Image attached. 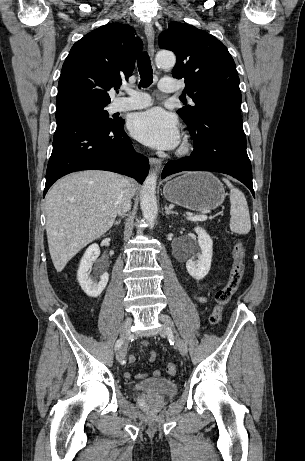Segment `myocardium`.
I'll return each mask as SVG.
<instances>
[{
  "instance_id": "obj_1",
  "label": "myocardium",
  "mask_w": 305,
  "mask_h": 461,
  "mask_svg": "<svg viewBox=\"0 0 305 461\" xmlns=\"http://www.w3.org/2000/svg\"><path fill=\"white\" fill-rule=\"evenodd\" d=\"M190 150V144L187 141H184L181 146L179 147L177 154L178 155H184L188 153Z\"/></svg>"
}]
</instances>
